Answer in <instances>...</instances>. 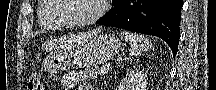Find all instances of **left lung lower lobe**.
I'll use <instances>...</instances> for the list:
<instances>
[{
	"label": "left lung lower lobe",
	"instance_id": "left-lung-lower-lobe-1",
	"mask_svg": "<svg viewBox=\"0 0 216 90\" xmlns=\"http://www.w3.org/2000/svg\"><path fill=\"white\" fill-rule=\"evenodd\" d=\"M182 0H117L97 24L158 36L175 56L180 36Z\"/></svg>",
	"mask_w": 216,
	"mask_h": 90
}]
</instances>
